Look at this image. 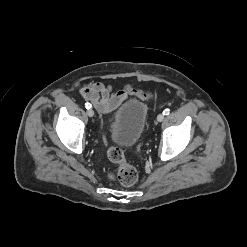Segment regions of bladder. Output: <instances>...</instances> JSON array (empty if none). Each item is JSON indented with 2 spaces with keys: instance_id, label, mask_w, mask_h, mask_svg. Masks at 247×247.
<instances>
[{
  "instance_id": "bladder-1",
  "label": "bladder",
  "mask_w": 247,
  "mask_h": 247,
  "mask_svg": "<svg viewBox=\"0 0 247 247\" xmlns=\"http://www.w3.org/2000/svg\"><path fill=\"white\" fill-rule=\"evenodd\" d=\"M148 108L139 100H130L120 107L110 123L112 140L120 146L132 147L141 138L147 121Z\"/></svg>"
}]
</instances>
